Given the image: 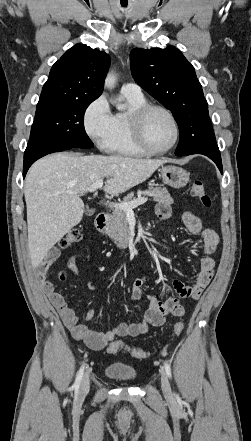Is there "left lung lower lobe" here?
Wrapping results in <instances>:
<instances>
[{
    "instance_id": "left-lung-lower-lobe-1",
    "label": "left lung lower lobe",
    "mask_w": 251,
    "mask_h": 441,
    "mask_svg": "<svg viewBox=\"0 0 251 441\" xmlns=\"http://www.w3.org/2000/svg\"><path fill=\"white\" fill-rule=\"evenodd\" d=\"M203 154L213 160L222 173V162L210 120H200L180 130L176 156Z\"/></svg>"
}]
</instances>
